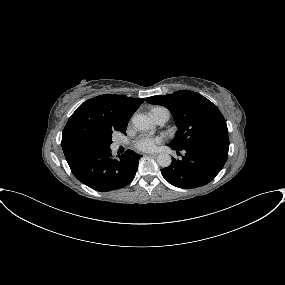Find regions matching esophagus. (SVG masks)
Segmentation results:
<instances>
[{"label": "esophagus", "instance_id": "obj_1", "mask_svg": "<svg viewBox=\"0 0 285 285\" xmlns=\"http://www.w3.org/2000/svg\"><path fill=\"white\" fill-rule=\"evenodd\" d=\"M148 156L156 157L158 154L157 153H148Z\"/></svg>", "mask_w": 285, "mask_h": 285}]
</instances>
